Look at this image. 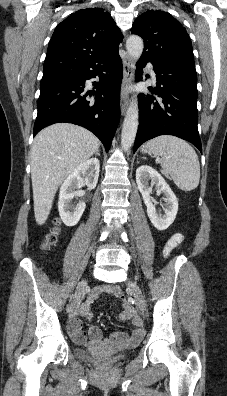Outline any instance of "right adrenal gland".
Listing matches in <instances>:
<instances>
[{
    "mask_svg": "<svg viewBox=\"0 0 227 396\" xmlns=\"http://www.w3.org/2000/svg\"><path fill=\"white\" fill-rule=\"evenodd\" d=\"M95 155H97V156H100V153H99V151H96Z\"/></svg>",
    "mask_w": 227,
    "mask_h": 396,
    "instance_id": "1",
    "label": "right adrenal gland"
}]
</instances>
